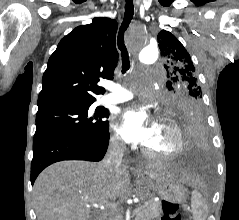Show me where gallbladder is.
<instances>
[{
  "mask_svg": "<svg viewBox=\"0 0 239 220\" xmlns=\"http://www.w3.org/2000/svg\"><path fill=\"white\" fill-rule=\"evenodd\" d=\"M89 220H97L96 219V216L94 215V214H92L91 216H90V219Z\"/></svg>",
  "mask_w": 239,
  "mask_h": 220,
  "instance_id": "1",
  "label": "gallbladder"
}]
</instances>
